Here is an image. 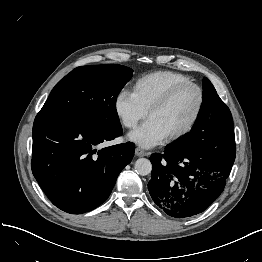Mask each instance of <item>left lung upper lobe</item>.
Listing matches in <instances>:
<instances>
[{
  "instance_id": "left-lung-upper-lobe-1",
  "label": "left lung upper lobe",
  "mask_w": 262,
  "mask_h": 262,
  "mask_svg": "<svg viewBox=\"0 0 262 262\" xmlns=\"http://www.w3.org/2000/svg\"><path fill=\"white\" fill-rule=\"evenodd\" d=\"M202 100L192 130L169 147L175 151L221 157L227 144L235 143L232 115L206 77L203 78Z\"/></svg>"
}]
</instances>
